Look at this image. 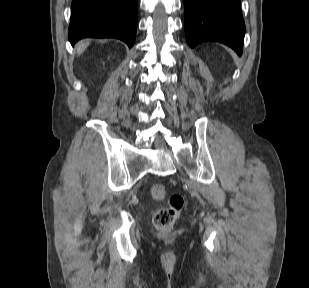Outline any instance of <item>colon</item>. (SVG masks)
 Segmentation results:
<instances>
[{"mask_svg":"<svg viewBox=\"0 0 309 288\" xmlns=\"http://www.w3.org/2000/svg\"><path fill=\"white\" fill-rule=\"evenodd\" d=\"M151 197L161 201L167 198V189L163 184L156 183L150 189ZM184 205L183 196L173 193L168 197V205L158 209L153 216V223L160 230H168L173 227Z\"/></svg>","mask_w":309,"mask_h":288,"instance_id":"5ec220e1","label":"colon"}]
</instances>
